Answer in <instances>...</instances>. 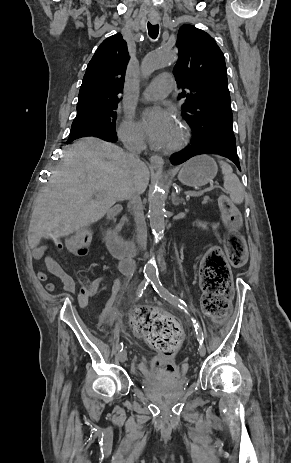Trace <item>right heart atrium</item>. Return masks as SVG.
<instances>
[{
    "instance_id": "d8ad5b80",
    "label": "right heart atrium",
    "mask_w": 291,
    "mask_h": 463,
    "mask_svg": "<svg viewBox=\"0 0 291 463\" xmlns=\"http://www.w3.org/2000/svg\"><path fill=\"white\" fill-rule=\"evenodd\" d=\"M121 138L128 143H141L143 135L138 124L130 117H126L119 129Z\"/></svg>"
}]
</instances>
